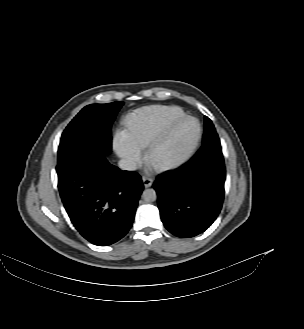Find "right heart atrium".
<instances>
[{
  "instance_id": "1",
  "label": "right heart atrium",
  "mask_w": 304,
  "mask_h": 329,
  "mask_svg": "<svg viewBox=\"0 0 304 329\" xmlns=\"http://www.w3.org/2000/svg\"><path fill=\"white\" fill-rule=\"evenodd\" d=\"M114 145L117 154L132 166L136 167L143 162V151L127 130L117 129L114 135Z\"/></svg>"
}]
</instances>
